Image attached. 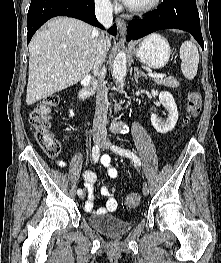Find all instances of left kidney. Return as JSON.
Masks as SVG:
<instances>
[{"label": "left kidney", "mask_w": 221, "mask_h": 263, "mask_svg": "<svg viewBox=\"0 0 221 263\" xmlns=\"http://www.w3.org/2000/svg\"><path fill=\"white\" fill-rule=\"evenodd\" d=\"M159 100L167 110V119H158L156 114H152L151 124L158 133L164 134L175 127L178 120V110L171 93L161 92L159 94Z\"/></svg>", "instance_id": "1"}]
</instances>
